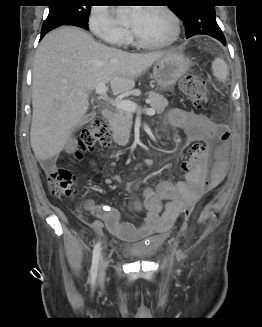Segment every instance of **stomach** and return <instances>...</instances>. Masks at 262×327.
<instances>
[{"label": "stomach", "instance_id": "0dacf381", "mask_svg": "<svg viewBox=\"0 0 262 327\" xmlns=\"http://www.w3.org/2000/svg\"><path fill=\"white\" fill-rule=\"evenodd\" d=\"M190 66V60L182 52H169L156 61L154 79L161 90H171Z\"/></svg>", "mask_w": 262, "mask_h": 327}]
</instances>
